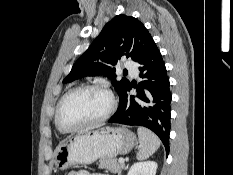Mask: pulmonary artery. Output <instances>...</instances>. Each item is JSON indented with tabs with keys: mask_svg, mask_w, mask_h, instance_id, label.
<instances>
[{
	"mask_svg": "<svg viewBox=\"0 0 233 175\" xmlns=\"http://www.w3.org/2000/svg\"><path fill=\"white\" fill-rule=\"evenodd\" d=\"M124 67L129 70L131 72V74H133L134 76L137 75L138 71H137V67L136 64L132 61H126L124 63Z\"/></svg>",
	"mask_w": 233,
	"mask_h": 175,
	"instance_id": "obj_1",
	"label": "pulmonary artery"
}]
</instances>
